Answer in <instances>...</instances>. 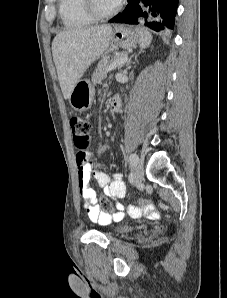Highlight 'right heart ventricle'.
<instances>
[{"label": "right heart ventricle", "instance_id": "1", "mask_svg": "<svg viewBox=\"0 0 227 298\" xmlns=\"http://www.w3.org/2000/svg\"><path fill=\"white\" fill-rule=\"evenodd\" d=\"M59 14L67 28L89 26L94 21L85 11L83 0H59Z\"/></svg>", "mask_w": 227, "mask_h": 298}]
</instances>
